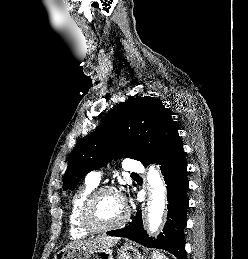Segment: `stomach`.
<instances>
[{"mask_svg":"<svg viewBox=\"0 0 248 259\" xmlns=\"http://www.w3.org/2000/svg\"><path fill=\"white\" fill-rule=\"evenodd\" d=\"M54 259H114L111 249L89 250L69 246L59 250ZM116 259H147L141 252L131 244H124L117 251ZM153 259V255L148 258Z\"/></svg>","mask_w":248,"mask_h":259,"instance_id":"obj_1","label":"stomach"}]
</instances>
